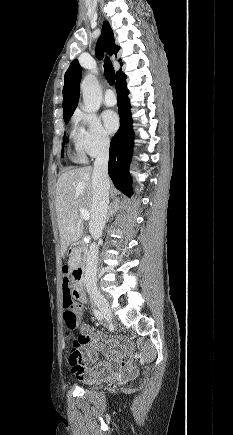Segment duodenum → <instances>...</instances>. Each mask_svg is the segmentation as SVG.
I'll list each match as a JSON object with an SVG mask.
<instances>
[{
	"mask_svg": "<svg viewBox=\"0 0 233 435\" xmlns=\"http://www.w3.org/2000/svg\"><path fill=\"white\" fill-rule=\"evenodd\" d=\"M88 249L87 245L84 242H80L76 247L69 248L65 258L67 260H71L74 253L78 252H86ZM85 275V268L83 266H79L74 270V286L72 289V294L74 298L80 302H84L86 299L85 291L83 287V279Z\"/></svg>",
	"mask_w": 233,
	"mask_h": 435,
	"instance_id": "duodenum-1",
	"label": "duodenum"
}]
</instances>
